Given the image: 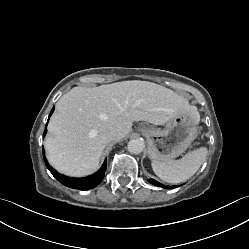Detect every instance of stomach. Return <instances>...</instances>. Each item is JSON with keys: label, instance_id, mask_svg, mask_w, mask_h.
Wrapping results in <instances>:
<instances>
[{"label": "stomach", "instance_id": "1", "mask_svg": "<svg viewBox=\"0 0 249 249\" xmlns=\"http://www.w3.org/2000/svg\"><path fill=\"white\" fill-rule=\"evenodd\" d=\"M198 111H180L164 129L144 128L148 142V156L153 161L167 162L182 155L197 137Z\"/></svg>", "mask_w": 249, "mask_h": 249}]
</instances>
